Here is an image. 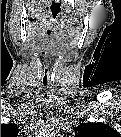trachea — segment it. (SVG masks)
Returning <instances> with one entry per match:
<instances>
[{"label":"trachea","mask_w":121,"mask_h":137,"mask_svg":"<svg viewBox=\"0 0 121 137\" xmlns=\"http://www.w3.org/2000/svg\"><path fill=\"white\" fill-rule=\"evenodd\" d=\"M51 10H52V17L54 19V22H53V28H54L55 24H57V17L59 15L60 9L58 6H54V7H52ZM43 83H44V85L47 84V69H45V76L43 78Z\"/></svg>","instance_id":"3493384b"}]
</instances>
